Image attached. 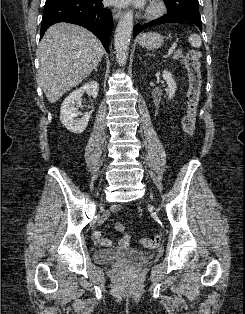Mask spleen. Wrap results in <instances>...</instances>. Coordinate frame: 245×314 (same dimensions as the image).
I'll return each mask as SVG.
<instances>
[{
	"instance_id": "3e777b00",
	"label": "spleen",
	"mask_w": 245,
	"mask_h": 314,
	"mask_svg": "<svg viewBox=\"0 0 245 314\" xmlns=\"http://www.w3.org/2000/svg\"><path fill=\"white\" fill-rule=\"evenodd\" d=\"M189 43L195 48H200L202 45L201 38L198 34H191L189 37Z\"/></svg>"
}]
</instances>
